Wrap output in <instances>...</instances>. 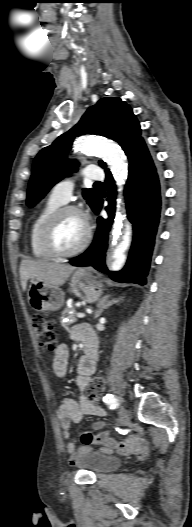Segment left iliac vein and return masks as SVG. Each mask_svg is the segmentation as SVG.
Listing matches in <instances>:
<instances>
[{
	"label": "left iliac vein",
	"mask_w": 192,
	"mask_h": 527,
	"mask_svg": "<svg viewBox=\"0 0 192 527\" xmlns=\"http://www.w3.org/2000/svg\"><path fill=\"white\" fill-rule=\"evenodd\" d=\"M118 414H119V418L122 424H126L129 421V413L124 406H121L119 408Z\"/></svg>",
	"instance_id": "4c4485c4"
}]
</instances>
